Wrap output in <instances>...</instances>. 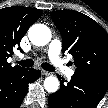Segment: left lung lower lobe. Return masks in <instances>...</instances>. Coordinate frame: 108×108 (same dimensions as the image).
Returning <instances> with one entry per match:
<instances>
[{"instance_id": "left-lung-lower-lobe-1", "label": "left lung lower lobe", "mask_w": 108, "mask_h": 108, "mask_svg": "<svg viewBox=\"0 0 108 108\" xmlns=\"http://www.w3.org/2000/svg\"><path fill=\"white\" fill-rule=\"evenodd\" d=\"M107 90L106 75L74 74L70 82L60 78V89L48 97L49 107L96 108Z\"/></svg>"}]
</instances>
